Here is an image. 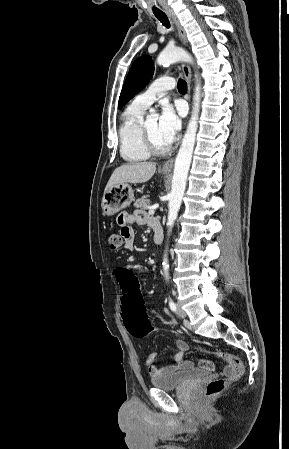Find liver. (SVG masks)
Returning <instances> with one entry per match:
<instances>
[{"instance_id":"obj_1","label":"liver","mask_w":289,"mask_h":449,"mask_svg":"<svg viewBox=\"0 0 289 449\" xmlns=\"http://www.w3.org/2000/svg\"><path fill=\"white\" fill-rule=\"evenodd\" d=\"M156 165L151 162H138L122 165L112 173L105 192L112 186L126 183H144L147 182L155 173Z\"/></svg>"}]
</instances>
